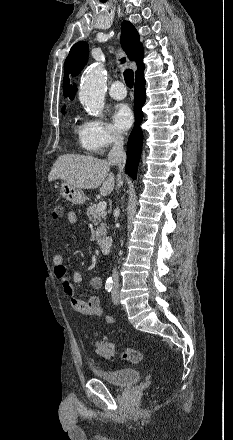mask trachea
I'll list each match as a JSON object with an SVG mask.
<instances>
[{"label":"trachea","instance_id":"3493384b","mask_svg":"<svg viewBox=\"0 0 233 440\" xmlns=\"http://www.w3.org/2000/svg\"><path fill=\"white\" fill-rule=\"evenodd\" d=\"M121 62L124 63L125 62V58L121 59ZM124 79H125V83L129 88L133 87L134 84V73L131 69H126L124 71Z\"/></svg>","mask_w":233,"mask_h":440}]
</instances>
